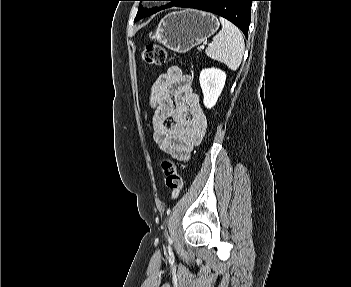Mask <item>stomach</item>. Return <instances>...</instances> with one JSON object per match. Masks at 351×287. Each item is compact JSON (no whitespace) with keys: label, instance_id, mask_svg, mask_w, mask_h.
<instances>
[{"label":"stomach","instance_id":"0dacf381","mask_svg":"<svg viewBox=\"0 0 351 287\" xmlns=\"http://www.w3.org/2000/svg\"><path fill=\"white\" fill-rule=\"evenodd\" d=\"M219 26L214 15L186 9L164 16L149 37L174 52L186 53L212 36Z\"/></svg>","mask_w":351,"mask_h":287}]
</instances>
